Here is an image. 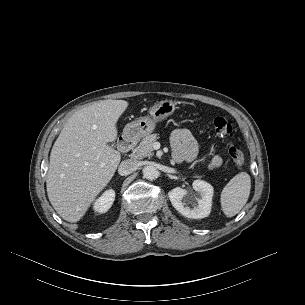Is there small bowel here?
<instances>
[{"mask_svg": "<svg viewBox=\"0 0 305 305\" xmlns=\"http://www.w3.org/2000/svg\"><path fill=\"white\" fill-rule=\"evenodd\" d=\"M171 147L172 156L176 162H197L198 146L190 131L186 129L174 130L171 134ZM221 164L222 158L216 155L207 164V168H218Z\"/></svg>", "mask_w": 305, "mask_h": 305, "instance_id": "c3829d8e", "label": "small bowel"}]
</instances>
